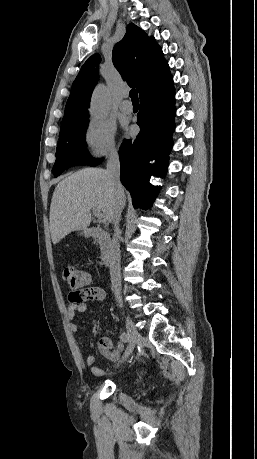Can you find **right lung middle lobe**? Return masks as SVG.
I'll return each mask as SVG.
<instances>
[{
	"label": "right lung middle lobe",
	"instance_id": "dd1d6c3e",
	"mask_svg": "<svg viewBox=\"0 0 257 459\" xmlns=\"http://www.w3.org/2000/svg\"><path fill=\"white\" fill-rule=\"evenodd\" d=\"M88 120L76 125L68 131L59 134L56 149V161L53 166L54 177L59 176L65 169L76 165L95 166L99 159H93L87 154L85 134Z\"/></svg>",
	"mask_w": 257,
	"mask_h": 459
}]
</instances>
